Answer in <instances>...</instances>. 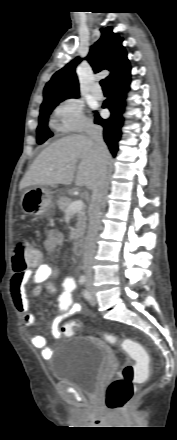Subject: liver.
<instances>
[{"instance_id":"liver-1","label":"liver","mask_w":177,"mask_h":440,"mask_svg":"<svg viewBox=\"0 0 177 440\" xmlns=\"http://www.w3.org/2000/svg\"><path fill=\"white\" fill-rule=\"evenodd\" d=\"M110 157L109 150L105 146L104 158L107 163ZM75 172L77 186L93 189L98 178L99 161L90 137L73 135L49 145L24 175L20 189L41 185H70L74 180Z\"/></svg>"}]
</instances>
